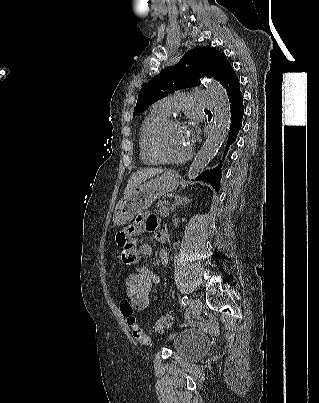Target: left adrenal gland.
I'll return each mask as SVG.
<instances>
[{"label":"left adrenal gland","mask_w":319,"mask_h":403,"mask_svg":"<svg viewBox=\"0 0 319 403\" xmlns=\"http://www.w3.org/2000/svg\"><path fill=\"white\" fill-rule=\"evenodd\" d=\"M190 202V200L187 197H180V196H176L175 198V203L172 205L171 207V213L175 211L176 207L179 205H186Z\"/></svg>","instance_id":"1"}]
</instances>
